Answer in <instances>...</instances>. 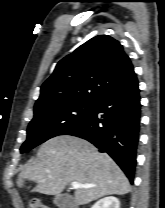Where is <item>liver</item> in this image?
<instances>
[{
    "mask_svg": "<svg viewBox=\"0 0 165 208\" xmlns=\"http://www.w3.org/2000/svg\"><path fill=\"white\" fill-rule=\"evenodd\" d=\"M25 179L36 182L34 191L46 195H59L70 182L94 185L75 190L77 205L130 191L127 177L108 154L100 153L84 139L69 135L46 141L36 158L19 174V187L24 186Z\"/></svg>",
    "mask_w": 165,
    "mask_h": 208,
    "instance_id": "1",
    "label": "liver"
}]
</instances>
